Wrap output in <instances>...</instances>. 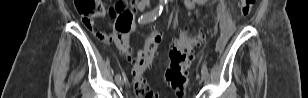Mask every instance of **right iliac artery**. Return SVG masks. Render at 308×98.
<instances>
[{
  "label": "right iliac artery",
  "instance_id": "obj_1",
  "mask_svg": "<svg viewBox=\"0 0 308 98\" xmlns=\"http://www.w3.org/2000/svg\"><path fill=\"white\" fill-rule=\"evenodd\" d=\"M162 9H163V6L162 5H159L157 6L155 9H153L152 11H149L147 13H145L144 15H142L140 18H139V23L141 24H145V23H148V22H151V21H154L162 12ZM120 77V74H117L115 76V79L119 78Z\"/></svg>",
  "mask_w": 308,
  "mask_h": 98
}]
</instances>
